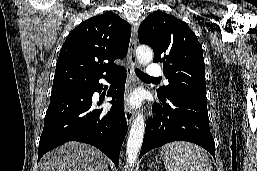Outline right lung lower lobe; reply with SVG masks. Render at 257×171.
Instances as JSON below:
<instances>
[{
	"instance_id": "98d812e1",
	"label": "right lung lower lobe",
	"mask_w": 257,
	"mask_h": 171,
	"mask_svg": "<svg viewBox=\"0 0 257 171\" xmlns=\"http://www.w3.org/2000/svg\"><path fill=\"white\" fill-rule=\"evenodd\" d=\"M115 75L108 92L113 98L108 112L96 109L92 102L94 92H101L103 88L99 79L52 89L39 142L38 161L65 142L80 141L97 147L118 166L120 149L128 130L123 105L126 71L120 68ZM105 79L109 80L110 76Z\"/></svg>"
}]
</instances>
